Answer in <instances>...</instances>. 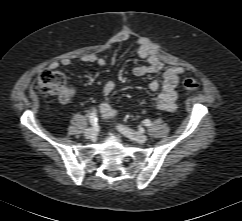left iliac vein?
I'll use <instances>...</instances> for the list:
<instances>
[{"label": "left iliac vein", "instance_id": "4c4485c4", "mask_svg": "<svg viewBox=\"0 0 242 221\" xmlns=\"http://www.w3.org/2000/svg\"><path fill=\"white\" fill-rule=\"evenodd\" d=\"M117 129L123 135H125L126 137H128V138H130V139H132V140H134L138 143L143 144V143H146L148 141V137L146 135L135 132V131L129 129L128 127H126V126L118 125Z\"/></svg>", "mask_w": 242, "mask_h": 221}]
</instances>
